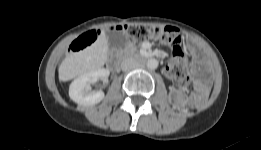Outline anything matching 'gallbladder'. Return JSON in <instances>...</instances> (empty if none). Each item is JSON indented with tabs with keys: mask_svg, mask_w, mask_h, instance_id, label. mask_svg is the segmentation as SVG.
Wrapping results in <instances>:
<instances>
[{
	"mask_svg": "<svg viewBox=\"0 0 261 150\" xmlns=\"http://www.w3.org/2000/svg\"><path fill=\"white\" fill-rule=\"evenodd\" d=\"M105 34L110 50L114 48L123 49L127 45V39L123 32L107 30Z\"/></svg>",
	"mask_w": 261,
	"mask_h": 150,
	"instance_id": "gallbladder-1",
	"label": "gallbladder"
}]
</instances>
